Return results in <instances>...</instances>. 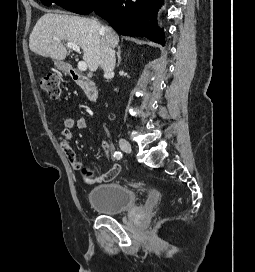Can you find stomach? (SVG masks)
Returning <instances> with one entry per match:
<instances>
[{"mask_svg":"<svg viewBox=\"0 0 255 272\" xmlns=\"http://www.w3.org/2000/svg\"><path fill=\"white\" fill-rule=\"evenodd\" d=\"M55 66L62 71H66V65L61 61H56Z\"/></svg>","mask_w":255,"mask_h":272,"instance_id":"obj_1","label":"stomach"}]
</instances>
